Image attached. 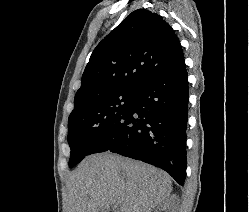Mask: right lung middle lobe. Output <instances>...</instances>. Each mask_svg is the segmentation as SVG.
Returning <instances> with one entry per match:
<instances>
[{"label":"right lung middle lobe","mask_w":249,"mask_h":212,"mask_svg":"<svg viewBox=\"0 0 249 212\" xmlns=\"http://www.w3.org/2000/svg\"><path fill=\"white\" fill-rule=\"evenodd\" d=\"M135 92L123 91L94 97L71 112L68 120L69 167L78 164L132 104Z\"/></svg>","instance_id":"right-lung-middle-lobe-1"}]
</instances>
